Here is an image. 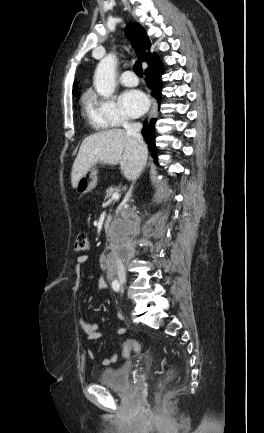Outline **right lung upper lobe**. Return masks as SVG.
Instances as JSON below:
<instances>
[{"mask_svg": "<svg viewBox=\"0 0 264 433\" xmlns=\"http://www.w3.org/2000/svg\"><path fill=\"white\" fill-rule=\"evenodd\" d=\"M127 28L129 29L130 35L135 43V49L137 55L143 60L150 64L155 65L160 62L159 57L150 52L151 42L147 37L144 28L136 22L130 23ZM77 90V82H74L73 93Z\"/></svg>", "mask_w": 264, "mask_h": 433, "instance_id": "1", "label": "right lung upper lobe"}]
</instances>
